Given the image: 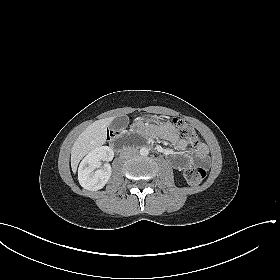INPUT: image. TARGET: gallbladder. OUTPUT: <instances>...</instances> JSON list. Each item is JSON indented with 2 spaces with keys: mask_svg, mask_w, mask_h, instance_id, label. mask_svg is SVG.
Instances as JSON below:
<instances>
[{
  "mask_svg": "<svg viewBox=\"0 0 280 280\" xmlns=\"http://www.w3.org/2000/svg\"><path fill=\"white\" fill-rule=\"evenodd\" d=\"M128 122L129 120L126 116H118L112 121V123L110 124V128L112 130H121L127 126Z\"/></svg>",
  "mask_w": 280,
  "mask_h": 280,
  "instance_id": "obj_1",
  "label": "gallbladder"
}]
</instances>
